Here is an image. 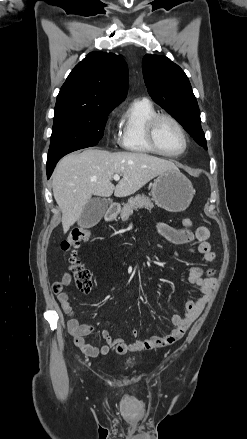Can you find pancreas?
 I'll return each instance as SVG.
<instances>
[{
	"mask_svg": "<svg viewBox=\"0 0 247 439\" xmlns=\"http://www.w3.org/2000/svg\"><path fill=\"white\" fill-rule=\"evenodd\" d=\"M154 207L152 201L145 195H136L131 197L126 204H124L120 217L123 221H127L129 217L133 214L134 210L137 209H152Z\"/></svg>",
	"mask_w": 247,
	"mask_h": 439,
	"instance_id": "1",
	"label": "pancreas"
}]
</instances>
